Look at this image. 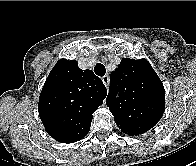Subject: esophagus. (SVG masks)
<instances>
[{
  "mask_svg": "<svg viewBox=\"0 0 196 166\" xmlns=\"http://www.w3.org/2000/svg\"><path fill=\"white\" fill-rule=\"evenodd\" d=\"M102 81H103L105 87L108 88V86H109V76L108 75L103 76Z\"/></svg>",
  "mask_w": 196,
  "mask_h": 166,
  "instance_id": "34e87169",
  "label": "esophagus"
}]
</instances>
